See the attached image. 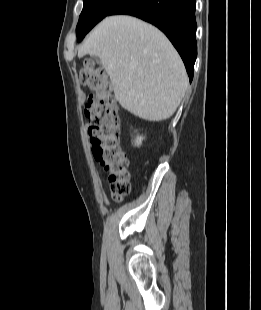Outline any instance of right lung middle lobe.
Listing matches in <instances>:
<instances>
[{"label":"right lung middle lobe","mask_w":261,"mask_h":310,"mask_svg":"<svg viewBox=\"0 0 261 310\" xmlns=\"http://www.w3.org/2000/svg\"><path fill=\"white\" fill-rule=\"evenodd\" d=\"M123 1L124 0H83V10L76 27L77 40L81 41L88 29L91 30Z\"/></svg>","instance_id":"right-lung-middle-lobe-1"}]
</instances>
